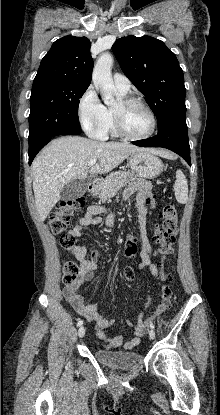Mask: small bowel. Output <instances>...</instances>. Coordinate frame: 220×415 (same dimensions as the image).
I'll return each instance as SVG.
<instances>
[{"label":"small bowel","instance_id":"c3829d8e","mask_svg":"<svg viewBox=\"0 0 220 415\" xmlns=\"http://www.w3.org/2000/svg\"><path fill=\"white\" fill-rule=\"evenodd\" d=\"M135 192L137 194L136 212L139 224V267L141 269H149L152 275L158 278V267L150 258V244L147 233L146 216L151 195L149 183L145 180H138L133 183L125 190L124 199H128ZM101 212H103L101 206L94 204L89 205L86 212L78 217L77 223L69 231V234L75 239H79L87 226L97 225L102 222V218L99 216ZM104 222L107 226L113 225L114 215L109 214ZM131 241L136 242L134 236H128L125 243ZM86 253V247L82 242H79L75 255L77 259L81 260L80 274L75 283L64 288L63 296L78 315L84 317L88 321H94L96 323V335L98 338L105 341L108 347L117 348L123 346L125 349H132L140 343L141 337L145 335L149 329L151 320L159 313L156 312L150 319H145L142 314L135 322H129V325H134L133 336L129 340H125L122 335H108L105 330L112 327L115 324V320L105 318L96 305L85 302L81 291L85 283L90 282L95 278L98 269V260L100 258V252L98 250H92L89 254V259H85ZM149 304L150 299L148 300V305Z\"/></svg>","mask_w":220,"mask_h":415}]
</instances>
